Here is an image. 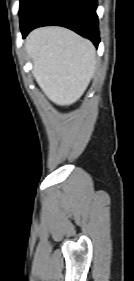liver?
<instances>
[{"label": "liver", "instance_id": "liver-1", "mask_svg": "<svg viewBox=\"0 0 134 281\" xmlns=\"http://www.w3.org/2000/svg\"><path fill=\"white\" fill-rule=\"evenodd\" d=\"M33 76L44 94L59 106L75 103L87 89L96 67L94 45L61 27L33 30L26 39Z\"/></svg>", "mask_w": 134, "mask_h": 281}]
</instances>
